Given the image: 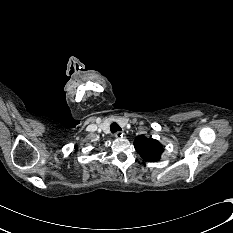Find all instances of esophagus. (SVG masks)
<instances>
[{
	"label": "esophagus",
	"mask_w": 233,
	"mask_h": 233,
	"mask_svg": "<svg viewBox=\"0 0 233 233\" xmlns=\"http://www.w3.org/2000/svg\"><path fill=\"white\" fill-rule=\"evenodd\" d=\"M114 136L117 138V139H122V138H125V134L122 132V131H117Z\"/></svg>",
	"instance_id": "obj_1"
}]
</instances>
